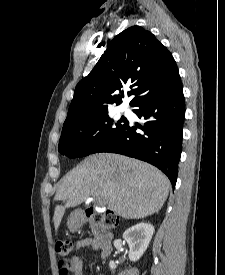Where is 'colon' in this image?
<instances>
[{
	"label": "colon",
	"mask_w": 225,
	"mask_h": 275,
	"mask_svg": "<svg viewBox=\"0 0 225 275\" xmlns=\"http://www.w3.org/2000/svg\"><path fill=\"white\" fill-rule=\"evenodd\" d=\"M86 212L95 227L102 230L115 229L119 224V216L115 212L109 210L96 211L92 208L87 209ZM53 244L56 254L61 256L58 262L60 275H69L71 267L67 256L72 250V242L57 237L54 239Z\"/></svg>",
	"instance_id": "obj_1"
}]
</instances>
